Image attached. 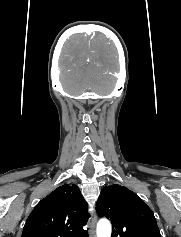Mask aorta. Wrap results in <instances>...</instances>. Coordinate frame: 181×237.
I'll return each instance as SVG.
<instances>
[{
  "instance_id": "1",
  "label": "aorta",
  "mask_w": 181,
  "mask_h": 237,
  "mask_svg": "<svg viewBox=\"0 0 181 237\" xmlns=\"http://www.w3.org/2000/svg\"><path fill=\"white\" fill-rule=\"evenodd\" d=\"M97 237H111V224L107 219L99 220L97 224Z\"/></svg>"
}]
</instances>
